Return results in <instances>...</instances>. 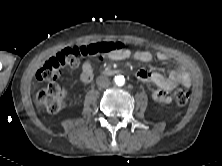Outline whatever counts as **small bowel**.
Returning a JSON list of instances; mask_svg holds the SVG:
<instances>
[{"label":"small bowel","mask_w":222,"mask_h":166,"mask_svg":"<svg viewBox=\"0 0 222 166\" xmlns=\"http://www.w3.org/2000/svg\"><path fill=\"white\" fill-rule=\"evenodd\" d=\"M108 58L116 61L133 58L141 62H150L153 60L154 55L146 50L131 51L121 48L110 53ZM156 58L161 62H166L169 59L168 55L164 52H158ZM136 76L140 81L152 83L156 86V89L152 92V97L155 101L162 103H170L172 100L171 92L173 90L179 86L189 88L192 82L188 71L183 66H179L168 76L145 69L139 70ZM79 78L85 84L91 82L93 79V68L89 60L84 61L82 64Z\"/></svg>","instance_id":"c3829d8e"}]
</instances>
